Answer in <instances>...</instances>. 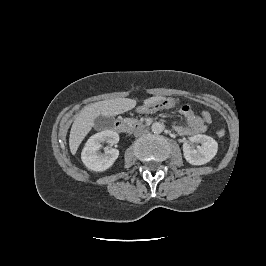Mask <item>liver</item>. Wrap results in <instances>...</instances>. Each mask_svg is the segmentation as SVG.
<instances>
[{
  "label": "liver",
  "instance_id": "liver-1",
  "mask_svg": "<svg viewBox=\"0 0 266 266\" xmlns=\"http://www.w3.org/2000/svg\"><path fill=\"white\" fill-rule=\"evenodd\" d=\"M163 97L156 96L144 100L145 104H150L162 100ZM136 100L128 98H118L99 101L85 106L76 116L70 131L69 147L74 155L85 136L94 126L95 119L102 115L107 117L116 116L133 109Z\"/></svg>",
  "mask_w": 266,
  "mask_h": 266
}]
</instances>
